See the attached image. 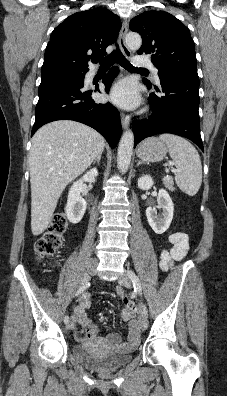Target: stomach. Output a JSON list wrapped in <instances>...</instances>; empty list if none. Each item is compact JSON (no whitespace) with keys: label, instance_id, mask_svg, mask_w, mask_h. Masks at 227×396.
Masks as SVG:
<instances>
[{"label":"stomach","instance_id":"obj_1","mask_svg":"<svg viewBox=\"0 0 227 396\" xmlns=\"http://www.w3.org/2000/svg\"><path fill=\"white\" fill-rule=\"evenodd\" d=\"M166 144L157 138L144 140L137 149V156L144 162H158L167 154Z\"/></svg>","mask_w":227,"mask_h":396}]
</instances>
